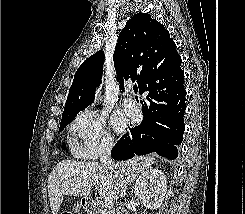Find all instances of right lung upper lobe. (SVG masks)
Listing matches in <instances>:
<instances>
[{"label": "right lung upper lobe", "instance_id": "obj_1", "mask_svg": "<svg viewBox=\"0 0 245 214\" xmlns=\"http://www.w3.org/2000/svg\"><path fill=\"white\" fill-rule=\"evenodd\" d=\"M113 62L121 92L124 80L132 79L141 93L150 72L159 67L169 66L176 76L183 74L181 57L169 32L148 13H137L127 21L118 36ZM103 63L104 53L98 51L77 69L63 114L79 112L93 102Z\"/></svg>", "mask_w": 245, "mask_h": 214}]
</instances>
